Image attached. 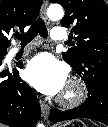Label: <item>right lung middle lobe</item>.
<instances>
[{"mask_svg":"<svg viewBox=\"0 0 108 127\" xmlns=\"http://www.w3.org/2000/svg\"><path fill=\"white\" fill-rule=\"evenodd\" d=\"M5 55H6V50H0V59H3Z\"/></svg>","mask_w":108,"mask_h":127,"instance_id":"obj_1","label":"right lung middle lobe"}]
</instances>
